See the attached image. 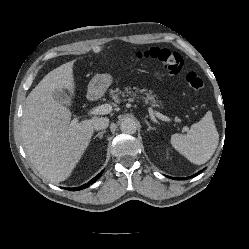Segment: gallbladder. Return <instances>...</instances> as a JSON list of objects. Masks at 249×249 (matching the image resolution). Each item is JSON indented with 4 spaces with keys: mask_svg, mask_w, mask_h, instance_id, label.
I'll use <instances>...</instances> for the list:
<instances>
[{
    "mask_svg": "<svg viewBox=\"0 0 249 249\" xmlns=\"http://www.w3.org/2000/svg\"><path fill=\"white\" fill-rule=\"evenodd\" d=\"M54 99L57 100L58 102L65 103L68 99V95L63 90L62 91L56 90L54 92Z\"/></svg>",
    "mask_w": 249,
    "mask_h": 249,
    "instance_id": "gallbladder-1",
    "label": "gallbladder"
}]
</instances>
